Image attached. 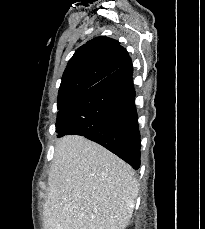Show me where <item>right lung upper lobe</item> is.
Masks as SVG:
<instances>
[{
  "label": "right lung upper lobe",
  "instance_id": "obj_1",
  "mask_svg": "<svg viewBox=\"0 0 205 229\" xmlns=\"http://www.w3.org/2000/svg\"><path fill=\"white\" fill-rule=\"evenodd\" d=\"M128 52L118 41L96 37L76 50L63 73L58 103L74 99L120 68Z\"/></svg>",
  "mask_w": 205,
  "mask_h": 229
}]
</instances>
